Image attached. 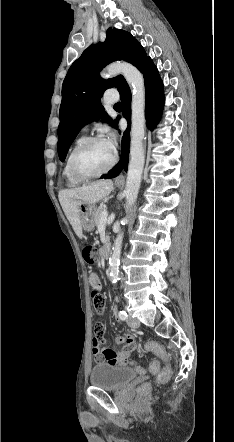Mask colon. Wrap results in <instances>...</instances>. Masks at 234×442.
Here are the masks:
<instances>
[{
    "instance_id": "colon-1",
    "label": "colon",
    "mask_w": 234,
    "mask_h": 442,
    "mask_svg": "<svg viewBox=\"0 0 234 442\" xmlns=\"http://www.w3.org/2000/svg\"><path fill=\"white\" fill-rule=\"evenodd\" d=\"M83 257L85 259V261L89 264H94L97 262V254H96V250L93 246L91 245H86L83 248ZM98 276L96 274H92L90 276V285L92 287V304L94 309L98 312V313H102L105 309L106 306V302L105 299L103 297V295L101 294V292L97 289L94 288V286L97 285L98 283ZM95 334V333H94ZM104 334V333H103ZM104 338V337H103ZM100 344H104V341ZM99 344V345H100ZM145 350L147 352H153L154 354H156L160 359H162L165 363V367L164 369L159 373L158 377H157V382L158 384H167L168 382V377L171 374V367H170V363H169V355L167 353V351L165 350V348L160 345L159 343L156 342H149L148 344H146ZM134 362H137V359H134ZM148 369L151 373L155 374L158 373L160 370V365L158 362V359L156 357H153L151 359V362L148 365ZM135 370L137 372H143L144 369L140 366L137 365L135 367ZM141 387L143 389H150L152 387V382L150 380H143L141 382Z\"/></svg>"
}]
</instances>
